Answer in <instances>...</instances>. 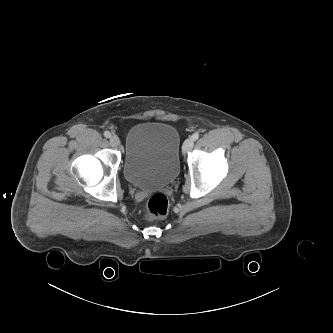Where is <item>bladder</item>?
<instances>
[{
	"label": "bladder",
	"instance_id": "bladder-1",
	"mask_svg": "<svg viewBox=\"0 0 333 333\" xmlns=\"http://www.w3.org/2000/svg\"><path fill=\"white\" fill-rule=\"evenodd\" d=\"M181 137L176 126L166 122H142L126 135L123 173L141 189L171 184L180 170Z\"/></svg>",
	"mask_w": 333,
	"mask_h": 333
}]
</instances>
